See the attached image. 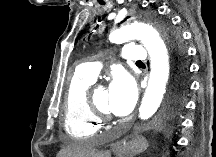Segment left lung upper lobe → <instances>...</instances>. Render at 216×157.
<instances>
[{"mask_svg":"<svg viewBox=\"0 0 216 157\" xmlns=\"http://www.w3.org/2000/svg\"><path fill=\"white\" fill-rule=\"evenodd\" d=\"M127 16L123 21L128 19ZM122 21V22H123ZM157 28L165 38L170 54L172 64V76L174 71L178 73L180 80L183 82L187 73L186 50L182 44L180 34L170 27L165 21L156 20Z\"/></svg>","mask_w":216,"mask_h":157,"instance_id":"1","label":"left lung upper lobe"}]
</instances>
